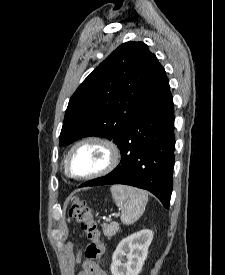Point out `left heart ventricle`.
I'll use <instances>...</instances> for the list:
<instances>
[{
  "label": "left heart ventricle",
  "mask_w": 225,
  "mask_h": 275,
  "mask_svg": "<svg viewBox=\"0 0 225 275\" xmlns=\"http://www.w3.org/2000/svg\"><path fill=\"white\" fill-rule=\"evenodd\" d=\"M106 159V152L102 147L87 144L73 152L70 158V168L74 174H88L103 167Z\"/></svg>",
  "instance_id": "obj_1"
}]
</instances>
